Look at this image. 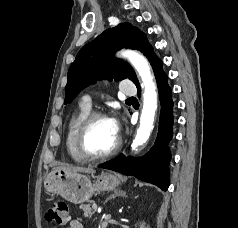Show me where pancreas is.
I'll list each match as a JSON object with an SVG mask.
<instances>
[{
  "label": "pancreas",
  "mask_w": 238,
  "mask_h": 228,
  "mask_svg": "<svg viewBox=\"0 0 238 228\" xmlns=\"http://www.w3.org/2000/svg\"><path fill=\"white\" fill-rule=\"evenodd\" d=\"M90 203H92L93 201H89ZM80 209L83 210L84 212V216L87 218H91L94 215V211L91 209L90 204H81L80 205Z\"/></svg>",
  "instance_id": "obj_1"
}]
</instances>
